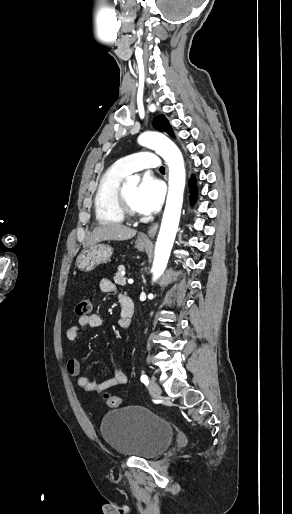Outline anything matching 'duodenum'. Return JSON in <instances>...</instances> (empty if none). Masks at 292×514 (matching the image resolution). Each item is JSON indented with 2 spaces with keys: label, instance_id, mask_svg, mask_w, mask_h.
Wrapping results in <instances>:
<instances>
[{
  "label": "duodenum",
  "instance_id": "duodenum-1",
  "mask_svg": "<svg viewBox=\"0 0 292 514\" xmlns=\"http://www.w3.org/2000/svg\"><path fill=\"white\" fill-rule=\"evenodd\" d=\"M119 303H120V307L123 309V311L127 315V319H130V321H131L132 317L134 315V300L132 299V297H130L128 295H121V296H119ZM130 326H131V322H130ZM130 326L126 329H129Z\"/></svg>",
  "mask_w": 292,
  "mask_h": 514
}]
</instances>
